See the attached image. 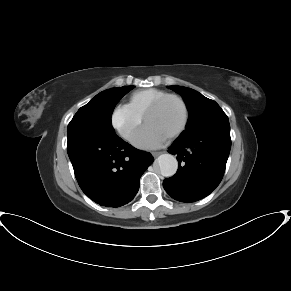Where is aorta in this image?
Instances as JSON below:
<instances>
[{"mask_svg": "<svg viewBox=\"0 0 291 291\" xmlns=\"http://www.w3.org/2000/svg\"><path fill=\"white\" fill-rule=\"evenodd\" d=\"M157 162L163 176L171 177L177 172L178 162L173 155L169 153L162 154L158 157Z\"/></svg>", "mask_w": 291, "mask_h": 291, "instance_id": "aorta-1", "label": "aorta"}]
</instances>
